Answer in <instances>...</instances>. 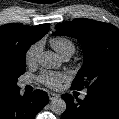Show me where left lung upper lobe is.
Segmentation results:
<instances>
[{
	"label": "left lung upper lobe",
	"mask_w": 119,
	"mask_h": 119,
	"mask_svg": "<svg viewBox=\"0 0 119 119\" xmlns=\"http://www.w3.org/2000/svg\"><path fill=\"white\" fill-rule=\"evenodd\" d=\"M54 35L78 39L84 63L72 88L119 94V29L91 19L78 18L56 25Z\"/></svg>",
	"instance_id": "5c2ea615"
}]
</instances>
